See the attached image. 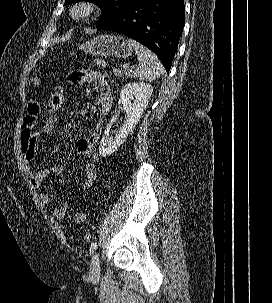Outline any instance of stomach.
I'll list each match as a JSON object with an SVG mask.
<instances>
[{
	"mask_svg": "<svg viewBox=\"0 0 272 303\" xmlns=\"http://www.w3.org/2000/svg\"><path fill=\"white\" fill-rule=\"evenodd\" d=\"M80 50L93 56L127 58L132 53V46L120 36L100 35L78 46ZM34 88H39L41 80L35 75L30 79Z\"/></svg>",
	"mask_w": 272,
	"mask_h": 303,
	"instance_id": "stomach-1",
	"label": "stomach"
}]
</instances>
